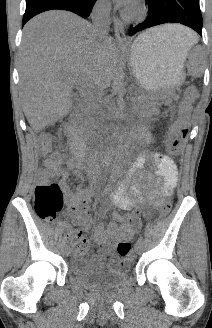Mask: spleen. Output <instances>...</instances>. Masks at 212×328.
Here are the masks:
<instances>
[{"label":"spleen","instance_id":"3e777b00","mask_svg":"<svg viewBox=\"0 0 212 328\" xmlns=\"http://www.w3.org/2000/svg\"><path fill=\"white\" fill-rule=\"evenodd\" d=\"M151 37V36H148L146 35V32L144 34H141L137 39L136 41H140V39L142 37ZM196 41L195 40H192L190 42H188V44L185 46V48L183 49V53H184V60H186V57H187V54H188V51L189 49L193 46V44L195 43Z\"/></svg>","mask_w":212,"mask_h":328}]
</instances>
